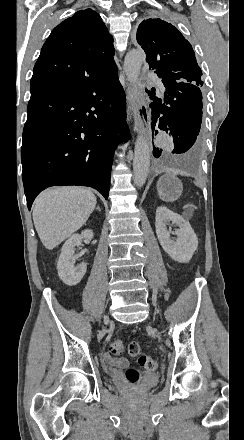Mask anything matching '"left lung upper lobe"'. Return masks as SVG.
Segmentation results:
<instances>
[{"mask_svg": "<svg viewBox=\"0 0 244 440\" xmlns=\"http://www.w3.org/2000/svg\"><path fill=\"white\" fill-rule=\"evenodd\" d=\"M136 38L146 53L149 69L162 80L202 84V71L192 46L176 27L162 19L149 18L139 25Z\"/></svg>", "mask_w": 244, "mask_h": 440, "instance_id": "obj_1", "label": "left lung upper lobe"}]
</instances>
